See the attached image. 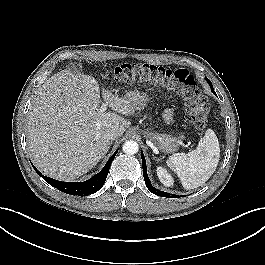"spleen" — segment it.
Returning <instances> with one entry per match:
<instances>
[{"instance_id": "3e777b00", "label": "spleen", "mask_w": 265, "mask_h": 265, "mask_svg": "<svg viewBox=\"0 0 265 265\" xmlns=\"http://www.w3.org/2000/svg\"><path fill=\"white\" fill-rule=\"evenodd\" d=\"M219 158L218 138L213 130L208 129L195 150L188 154L171 156L166 163L177 174L185 189H194L211 177Z\"/></svg>"}]
</instances>
